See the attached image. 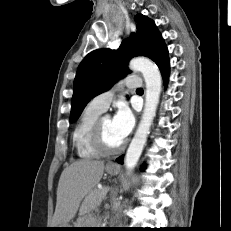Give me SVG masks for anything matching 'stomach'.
Listing matches in <instances>:
<instances>
[{
    "label": "stomach",
    "instance_id": "1",
    "mask_svg": "<svg viewBox=\"0 0 231 231\" xmlns=\"http://www.w3.org/2000/svg\"><path fill=\"white\" fill-rule=\"evenodd\" d=\"M106 172L110 175H117L120 172V168L118 166H115V167L106 166ZM85 226H86V221L80 220V221H78V223L75 226H71V225L58 226L55 228H59V229H54V230L67 231V230H72V229H67V228H88Z\"/></svg>",
    "mask_w": 231,
    "mask_h": 231
}]
</instances>
